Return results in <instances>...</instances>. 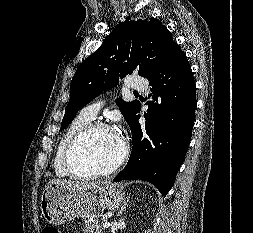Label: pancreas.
I'll list each match as a JSON object with an SVG mask.
<instances>
[{"mask_svg": "<svg viewBox=\"0 0 253 233\" xmlns=\"http://www.w3.org/2000/svg\"><path fill=\"white\" fill-rule=\"evenodd\" d=\"M105 222V220H104ZM104 227H102L101 224H98L96 220L91 221V220H86L84 229L83 231L85 233H103L104 232Z\"/></svg>", "mask_w": 253, "mask_h": 233, "instance_id": "pancreas-1", "label": "pancreas"}]
</instances>
